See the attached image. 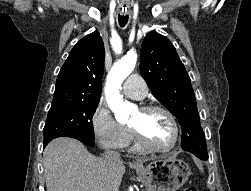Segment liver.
<instances>
[{
	"instance_id": "obj_1",
	"label": "liver",
	"mask_w": 251,
	"mask_h": 191,
	"mask_svg": "<svg viewBox=\"0 0 251 191\" xmlns=\"http://www.w3.org/2000/svg\"><path fill=\"white\" fill-rule=\"evenodd\" d=\"M43 157L47 191H119L123 163L95 157L78 139L56 137Z\"/></svg>"
}]
</instances>
